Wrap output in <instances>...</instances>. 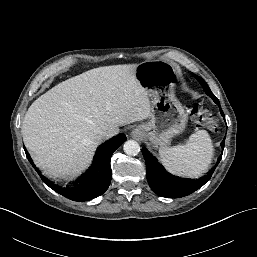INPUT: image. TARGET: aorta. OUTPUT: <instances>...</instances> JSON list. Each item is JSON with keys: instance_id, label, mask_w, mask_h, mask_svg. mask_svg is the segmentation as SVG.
<instances>
[{"instance_id": "obj_1", "label": "aorta", "mask_w": 257, "mask_h": 257, "mask_svg": "<svg viewBox=\"0 0 257 257\" xmlns=\"http://www.w3.org/2000/svg\"><path fill=\"white\" fill-rule=\"evenodd\" d=\"M124 152L127 155L135 156L140 152V146L135 140H128L123 145Z\"/></svg>"}]
</instances>
